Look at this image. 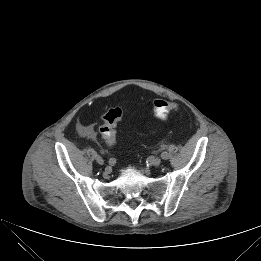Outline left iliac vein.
<instances>
[{
	"label": "left iliac vein",
	"instance_id": "left-iliac-vein-1",
	"mask_svg": "<svg viewBox=\"0 0 261 261\" xmlns=\"http://www.w3.org/2000/svg\"><path fill=\"white\" fill-rule=\"evenodd\" d=\"M161 164V158L160 157H156L152 160V165L157 167Z\"/></svg>",
	"mask_w": 261,
	"mask_h": 261
}]
</instances>
